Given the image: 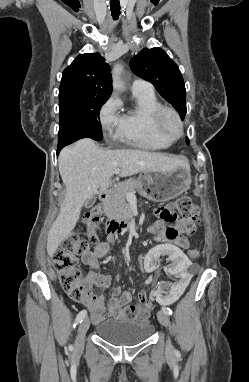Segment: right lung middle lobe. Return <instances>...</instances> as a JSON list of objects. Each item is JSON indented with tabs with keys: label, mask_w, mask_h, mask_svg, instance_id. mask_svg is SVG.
<instances>
[{
	"label": "right lung middle lobe",
	"mask_w": 249,
	"mask_h": 382,
	"mask_svg": "<svg viewBox=\"0 0 249 382\" xmlns=\"http://www.w3.org/2000/svg\"><path fill=\"white\" fill-rule=\"evenodd\" d=\"M107 99L59 108L58 146H66L82 138L102 140L99 111Z\"/></svg>",
	"instance_id": "right-lung-middle-lobe-1"
}]
</instances>
